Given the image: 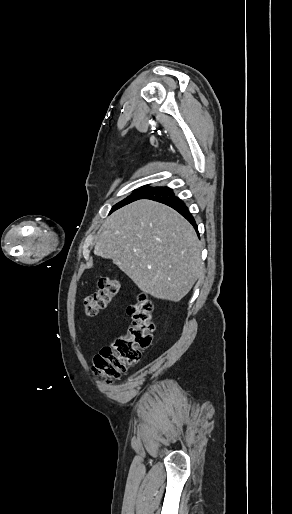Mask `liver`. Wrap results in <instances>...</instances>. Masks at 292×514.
<instances>
[{"instance_id":"liver-1","label":"liver","mask_w":292,"mask_h":514,"mask_svg":"<svg viewBox=\"0 0 292 514\" xmlns=\"http://www.w3.org/2000/svg\"><path fill=\"white\" fill-rule=\"evenodd\" d=\"M95 256L111 258L144 294L179 302L203 268L201 242L178 212L138 200L108 216L99 230Z\"/></svg>"}]
</instances>
